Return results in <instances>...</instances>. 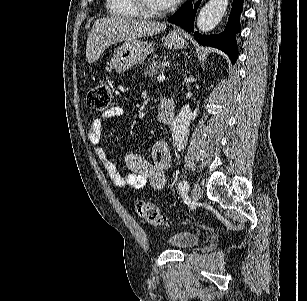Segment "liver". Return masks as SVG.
<instances>
[{"mask_svg": "<svg viewBox=\"0 0 307 301\" xmlns=\"http://www.w3.org/2000/svg\"><path fill=\"white\" fill-rule=\"evenodd\" d=\"M165 22L155 20H139L126 16H104L95 20L88 36L86 58L88 62H95L107 46L124 40H134L142 36H153L165 30Z\"/></svg>", "mask_w": 307, "mask_h": 301, "instance_id": "obj_1", "label": "liver"}]
</instances>
